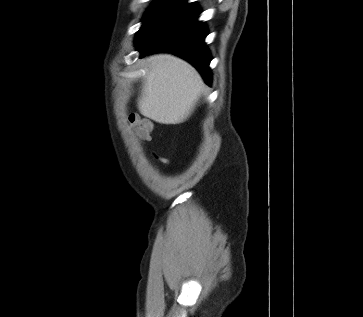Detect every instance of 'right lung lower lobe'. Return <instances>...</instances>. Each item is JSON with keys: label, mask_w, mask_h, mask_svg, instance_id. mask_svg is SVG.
Returning <instances> with one entry per match:
<instances>
[{"label": "right lung lower lobe", "mask_w": 363, "mask_h": 317, "mask_svg": "<svg viewBox=\"0 0 363 317\" xmlns=\"http://www.w3.org/2000/svg\"><path fill=\"white\" fill-rule=\"evenodd\" d=\"M199 14L200 10L195 3L185 2L166 13L136 39L140 57L153 52H172L193 64L210 85L208 65L211 58L203 42L207 30L202 22L197 21Z\"/></svg>", "instance_id": "1"}]
</instances>
